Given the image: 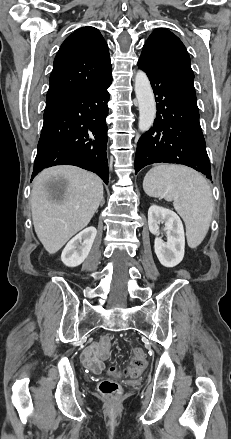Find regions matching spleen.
<instances>
[{"label": "spleen", "mask_w": 231, "mask_h": 439, "mask_svg": "<svg viewBox=\"0 0 231 439\" xmlns=\"http://www.w3.org/2000/svg\"><path fill=\"white\" fill-rule=\"evenodd\" d=\"M143 189L149 196L173 201L186 225L191 248L205 238L213 213V199L206 179L197 171L178 165H157L145 176Z\"/></svg>", "instance_id": "spleen-1"}]
</instances>
